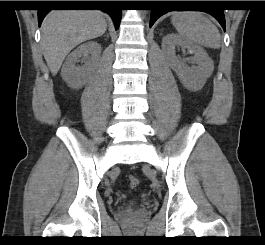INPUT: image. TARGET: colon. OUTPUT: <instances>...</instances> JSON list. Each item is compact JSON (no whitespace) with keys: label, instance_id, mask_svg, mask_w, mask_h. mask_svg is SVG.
Instances as JSON below:
<instances>
[{"label":"colon","instance_id":"obj_1","mask_svg":"<svg viewBox=\"0 0 265 245\" xmlns=\"http://www.w3.org/2000/svg\"><path fill=\"white\" fill-rule=\"evenodd\" d=\"M138 183H139V179L137 176H130L129 177V185L131 188H136L138 186Z\"/></svg>","mask_w":265,"mask_h":245}]
</instances>
